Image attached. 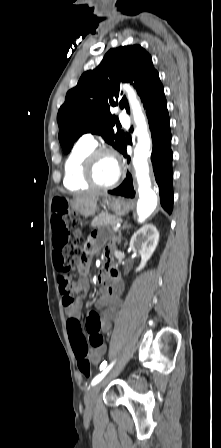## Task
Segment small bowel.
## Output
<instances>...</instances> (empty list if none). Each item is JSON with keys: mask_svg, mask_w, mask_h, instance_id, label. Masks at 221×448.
I'll return each instance as SVG.
<instances>
[{"mask_svg": "<svg viewBox=\"0 0 221 448\" xmlns=\"http://www.w3.org/2000/svg\"><path fill=\"white\" fill-rule=\"evenodd\" d=\"M55 218H62V213L59 211H56L53 209L52 213V220ZM53 236H54V229L52 226ZM89 246L92 249V251H96L102 244L103 240L97 235H93L88 240ZM53 248H54V242H53ZM112 248L109 246L107 249V253H110ZM106 253V254H107ZM81 279L80 282L87 286V280H86V266L83 265L81 267ZM102 274L105 278V283L102 286L101 289V295L97 302V307L100 310V330L103 332H108L111 329L112 322L117 318V310L122 307V301L120 299V295L122 292V283L119 280L117 272L110 266V264H107L102 271ZM110 280V282L107 283V280ZM81 314V308L79 306H75L73 308L67 309V316L69 319H77L79 318ZM79 337L82 340H86V337L81 332L79 334ZM69 340L75 355V350L72 344L71 336L69 334ZM106 347L105 344H103L100 347L93 348L90 351V359L94 364H98L103 355L105 354ZM89 353V352H88Z\"/></svg>", "mask_w": 221, "mask_h": 448, "instance_id": "obj_1", "label": "small bowel"}]
</instances>
